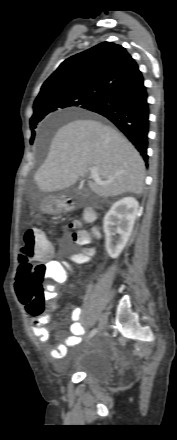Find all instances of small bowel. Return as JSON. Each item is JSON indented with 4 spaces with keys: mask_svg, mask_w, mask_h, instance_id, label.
I'll return each mask as SVG.
<instances>
[{
    "mask_svg": "<svg viewBox=\"0 0 177 440\" xmlns=\"http://www.w3.org/2000/svg\"><path fill=\"white\" fill-rule=\"evenodd\" d=\"M52 247V246H51ZM52 255V254H51ZM51 255L48 257L50 258ZM46 258L45 260H47ZM49 269V279L56 283H63L67 278V272L65 270V266L62 262L48 260L46 262ZM50 298H56L58 294L54 291H50ZM52 309H56V305L52 306ZM83 316V309L81 307L74 308L71 314L72 323L70 325L71 335L65 340L64 343H59L54 345L50 350V355L53 359H61L66 353L68 347H73L78 345L82 336L85 333L84 327L81 323V319ZM31 331L35 337L41 343H47L50 339L49 330L45 327L46 324L49 323L50 317L48 315H43L40 317L31 316Z\"/></svg>",
    "mask_w": 177,
    "mask_h": 440,
    "instance_id": "1",
    "label": "small bowel"
}]
</instances>
